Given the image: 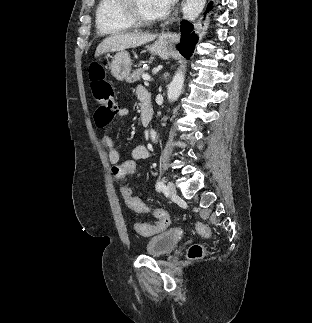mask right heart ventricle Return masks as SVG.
<instances>
[{
  "instance_id": "right-heart-ventricle-1",
  "label": "right heart ventricle",
  "mask_w": 312,
  "mask_h": 323,
  "mask_svg": "<svg viewBox=\"0 0 312 323\" xmlns=\"http://www.w3.org/2000/svg\"><path fill=\"white\" fill-rule=\"evenodd\" d=\"M94 9V25L99 33H115V29H133V22L128 18L127 9L122 1L97 0Z\"/></svg>"
}]
</instances>
